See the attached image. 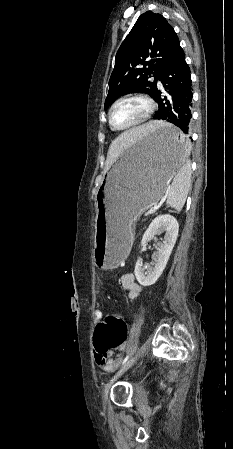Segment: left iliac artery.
<instances>
[{
  "label": "left iliac artery",
  "instance_id": "44dca946",
  "mask_svg": "<svg viewBox=\"0 0 233 449\" xmlns=\"http://www.w3.org/2000/svg\"><path fill=\"white\" fill-rule=\"evenodd\" d=\"M130 353L128 355H126V357L123 359L122 364H124L130 357Z\"/></svg>",
  "mask_w": 233,
  "mask_h": 449
}]
</instances>
